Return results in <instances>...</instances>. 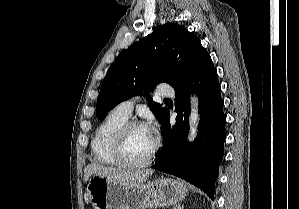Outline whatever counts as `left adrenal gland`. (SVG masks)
I'll return each instance as SVG.
<instances>
[{
    "label": "left adrenal gland",
    "mask_w": 299,
    "mask_h": 209,
    "mask_svg": "<svg viewBox=\"0 0 299 209\" xmlns=\"http://www.w3.org/2000/svg\"><path fill=\"white\" fill-rule=\"evenodd\" d=\"M172 209H184L180 204L177 206H174Z\"/></svg>",
    "instance_id": "left-adrenal-gland-1"
}]
</instances>
